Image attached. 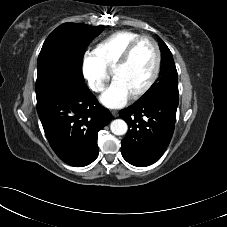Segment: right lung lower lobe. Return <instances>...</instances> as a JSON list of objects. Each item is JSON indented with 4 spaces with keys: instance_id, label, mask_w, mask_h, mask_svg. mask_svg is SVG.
I'll return each mask as SVG.
<instances>
[{
    "instance_id": "obj_1",
    "label": "right lung lower lobe",
    "mask_w": 227,
    "mask_h": 227,
    "mask_svg": "<svg viewBox=\"0 0 227 227\" xmlns=\"http://www.w3.org/2000/svg\"><path fill=\"white\" fill-rule=\"evenodd\" d=\"M37 112L56 155L74 167L98 156L97 134L112 119L88 87L76 80H59L36 93Z\"/></svg>"
}]
</instances>
